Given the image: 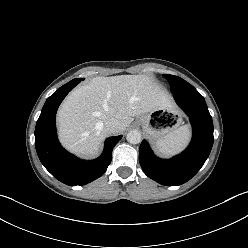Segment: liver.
Masks as SVG:
<instances>
[{"instance_id": "liver-1", "label": "liver", "mask_w": 248, "mask_h": 248, "mask_svg": "<svg viewBox=\"0 0 248 248\" xmlns=\"http://www.w3.org/2000/svg\"><path fill=\"white\" fill-rule=\"evenodd\" d=\"M171 107L169 95L148 76L95 77L62 103L57 115L60 140L69 151L93 157L108 136L104 130L108 119L119 122V133L133 117Z\"/></svg>"}]
</instances>
